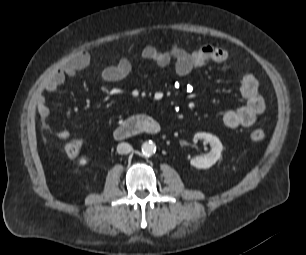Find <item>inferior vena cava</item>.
<instances>
[{"label":"inferior vena cava","instance_id":"inferior-vena-cava-1","mask_svg":"<svg viewBox=\"0 0 306 255\" xmlns=\"http://www.w3.org/2000/svg\"><path fill=\"white\" fill-rule=\"evenodd\" d=\"M133 150L132 146L128 143H120L117 146V152L119 154H128Z\"/></svg>","mask_w":306,"mask_h":255}]
</instances>
